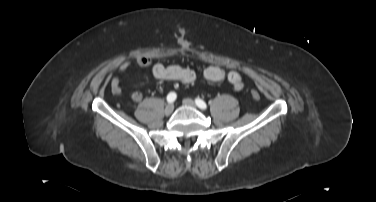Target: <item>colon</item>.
<instances>
[{"label": "colon", "mask_w": 376, "mask_h": 202, "mask_svg": "<svg viewBox=\"0 0 376 202\" xmlns=\"http://www.w3.org/2000/svg\"><path fill=\"white\" fill-rule=\"evenodd\" d=\"M251 95H252V97H253L254 99H259V97H260L259 93H258L257 91H255V90H253V91L251 92Z\"/></svg>", "instance_id": "1"}]
</instances>
